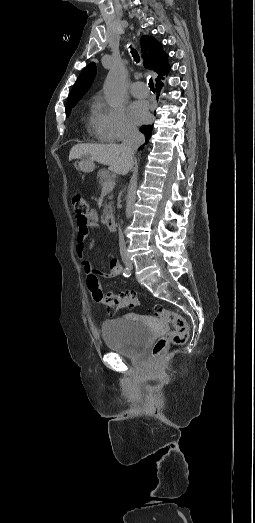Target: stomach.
Masks as SVG:
<instances>
[{
	"label": "stomach",
	"mask_w": 255,
	"mask_h": 523,
	"mask_svg": "<svg viewBox=\"0 0 255 523\" xmlns=\"http://www.w3.org/2000/svg\"><path fill=\"white\" fill-rule=\"evenodd\" d=\"M79 168L82 172H93L94 164L91 160H87V162H80Z\"/></svg>",
	"instance_id": "0dacf381"
}]
</instances>
